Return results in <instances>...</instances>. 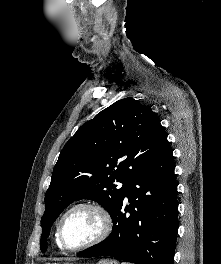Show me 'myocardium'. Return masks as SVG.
<instances>
[{"label":"myocardium","instance_id":"obj_1","mask_svg":"<svg viewBox=\"0 0 221 264\" xmlns=\"http://www.w3.org/2000/svg\"><path fill=\"white\" fill-rule=\"evenodd\" d=\"M78 209H88V210L95 212L100 218L101 230L99 234L91 241L85 244H82L80 246L70 247L66 244L63 238V225L68 215ZM112 228H113L112 216L104 205H102L99 202H95V201H83V202L74 204L69 209H67L66 212L62 215L58 223V227H57V238H58L59 244L61 245L63 249L76 252V251H81V250L90 248L92 246H95L101 243L109 236V234L112 231Z\"/></svg>","mask_w":221,"mask_h":264}]
</instances>
